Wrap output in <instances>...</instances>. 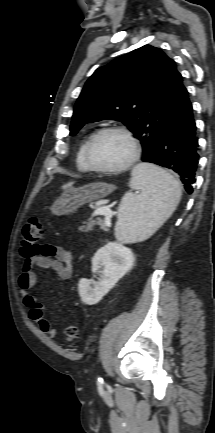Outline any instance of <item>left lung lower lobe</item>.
<instances>
[{"instance_id": "1", "label": "left lung lower lobe", "mask_w": 215, "mask_h": 433, "mask_svg": "<svg viewBox=\"0 0 215 433\" xmlns=\"http://www.w3.org/2000/svg\"><path fill=\"white\" fill-rule=\"evenodd\" d=\"M198 147L192 104L186 88L182 86L158 137L155 154L144 162L154 163L175 172L185 190L191 194L199 162Z\"/></svg>"}]
</instances>
